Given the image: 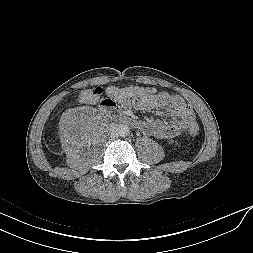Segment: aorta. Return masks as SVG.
I'll return each instance as SVG.
<instances>
[{"mask_svg": "<svg viewBox=\"0 0 253 253\" xmlns=\"http://www.w3.org/2000/svg\"><path fill=\"white\" fill-rule=\"evenodd\" d=\"M117 135L121 137H126L130 134V129L127 125H119L115 129Z\"/></svg>", "mask_w": 253, "mask_h": 253, "instance_id": "1", "label": "aorta"}]
</instances>
